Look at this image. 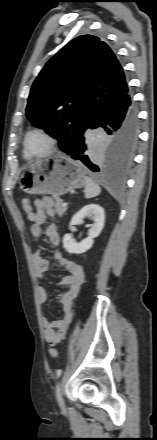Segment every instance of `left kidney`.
Returning <instances> with one entry per match:
<instances>
[{
    "mask_svg": "<svg viewBox=\"0 0 157 440\" xmlns=\"http://www.w3.org/2000/svg\"><path fill=\"white\" fill-rule=\"evenodd\" d=\"M93 219L94 223L89 229L88 237L77 243L70 234H65L63 237V247L69 253L82 254L88 251L93 243L94 238L98 237L104 227V209L97 204H89L80 209L71 219L69 228L80 224L84 218Z\"/></svg>",
    "mask_w": 157,
    "mask_h": 440,
    "instance_id": "5707ae66",
    "label": "left kidney"
}]
</instances>
